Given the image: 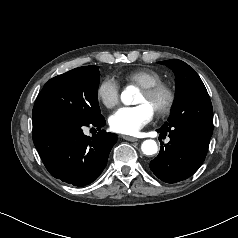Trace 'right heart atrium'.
<instances>
[{
    "instance_id": "obj_1",
    "label": "right heart atrium",
    "mask_w": 238,
    "mask_h": 238,
    "mask_svg": "<svg viewBox=\"0 0 238 238\" xmlns=\"http://www.w3.org/2000/svg\"><path fill=\"white\" fill-rule=\"evenodd\" d=\"M97 97L107 108L116 106L120 99V87L118 82L111 77L104 78L98 85Z\"/></svg>"
}]
</instances>
